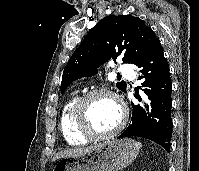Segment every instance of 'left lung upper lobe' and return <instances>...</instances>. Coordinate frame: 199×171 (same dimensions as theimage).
<instances>
[{"label": "left lung upper lobe", "mask_w": 199, "mask_h": 171, "mask_svg": "<svg viewBox=\"0 0 199 171\" xmlns=\"http://www.w3.org/2000/svg\"><path fill=\"white\" fill-rule=\"evenodd\" d=\"M158 40L150 27L132 15L108 16L86 35L70 57L62 76L61 93L76 79L97 73L109 59L123 55L122 61L137 65ZM117 88L126 91L121 81Z\"/></svg>", "instance_id": "5c2ea615"}]
</instances>
